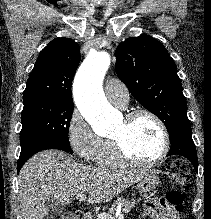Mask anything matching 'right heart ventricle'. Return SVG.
<instances>
[{
	"label": "right heart ventricle",
	"mask_w": 211,
	"mask_h": 219,
	"mask_svg": "<svg viewBox=\"0 0 211 219\" xmlns=\"http://www.w3.org/2000/svg\"><path fill=\"white\" fill-rule=\"evenodd\" d=\"M94 162L101 167L116 168L123 164L117 158L111 140H104L101 150L96 155Z\"/></svg>",
	"instance_id": "obj_1"
}]
</instances>
